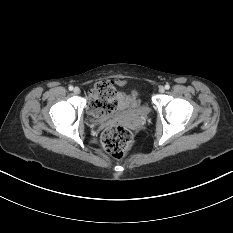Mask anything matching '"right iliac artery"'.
Instances as JSON below:
<instances>
[{"instance_id":"82829eb1","label":"right iliac artery","mask_w":233,"mask_h":233,"mask_svg":"<svg viewBox=\"0 0 233 233\" xmlns=\"http://www.w3.org/2000/svg\"><path fill=\"white\" fill-rule=\"evenodd\" d=\"M70 91H72L73 90V86H69V88H68Z\"/></svg>"}]
</instances>
